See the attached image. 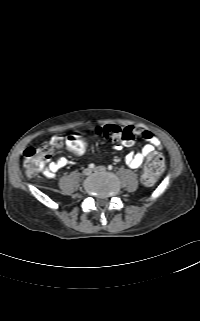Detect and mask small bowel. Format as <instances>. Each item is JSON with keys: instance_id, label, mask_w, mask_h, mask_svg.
I'll list each match as a JSON object with an SVG mask.
<instances>
[{"instance_id": "obj_1", "label": "small bowel", "mask_w": 200, "mask_h": 321, "mask_svg": "<svg viewBox=\"0 0 200 321\" xmlns=\"http://www.w3.org/2000/svg\"><path fill=\"white\" fill-rule=\"evenodd\" d=\"M134 130L137 135L147 142L140 151L130 152L125 157L126 164L132 169H137L143 164L144 160L149 157V155H151L157 148L161 147V142L159 138L146 129L135 128ZM63 139L62 135H54L50 138L49 144L52 147L59 148L63 144ZM68 164V159L61 157L55 161L49 162L47 167L43 170V174L47 178H53L59 170Z\"/></svg>"}]
</instances>
